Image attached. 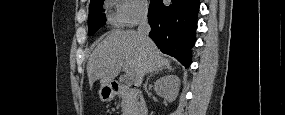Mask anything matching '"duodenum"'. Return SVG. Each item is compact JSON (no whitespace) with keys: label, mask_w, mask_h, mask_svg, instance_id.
I'll return each mask as SVG.
<instances>
[{"label":"duodenum","mask_w":285,"mask_h":115,"mask_svg":"<svg viewBox=\"0 0 285 115\" xmlns=\"http://www.w3.org/2000/svg\"><path fill=\"white\" fill-rule=\"evenodd\" d=\"M111 91L115 93H119L125 90V86L120 82H112L110 84ZM146 106L144 104H140L137 109L134 110L135 115H146Z\"/></svg>","instance_id":"1"}]
</instances>
